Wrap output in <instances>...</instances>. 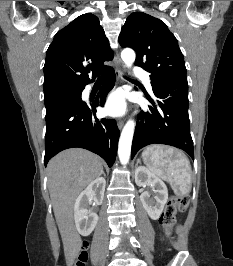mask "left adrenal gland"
<instances>
[{
    "instance_id": "left-adrenal-gland-1",
    "label": "left adrenal gland",
    "mask_w": 233,
    "mask_h": 266,
    "mask_svg": "<svg viewBox=\"0 0 233 266\" xmlns=\"http://www.w3.org/2000/svg\"><path fill=\"white\" fill-rule=\"evenodd\" d=\"M139 163H140V159L137 160L136 168H138L137 165H138Z\"/></svg>"
}]
</instances>
